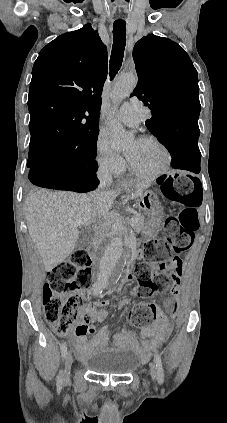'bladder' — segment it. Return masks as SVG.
<instances>
[{
    "mask_svg": "<svg viewBox=\"0 0 227 423\" xmlns=\"http://www.w3.org/2000/svg\"><path fill=\"white\" fill-rule=\"evenodd\" d=\"M86 368L95 374L126 376L138 366V357L131 349L106 348L83 360Z\"/></svg>",
    "mask_w": 227,
    "mask_h": 423,
    "instance_id": "obj_1",
    "label": "bladder"
}]
</instances>
